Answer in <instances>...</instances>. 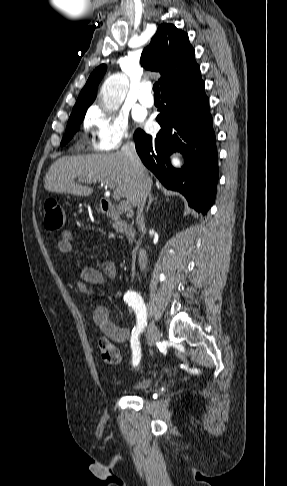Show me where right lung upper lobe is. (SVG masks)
I'll return each instance as SVG.
<instances>
[{"mask_svg": "<svg viewBox=\"0 0 287 486\" xmlns=\"http://www.w3.org/2000/svg\"><path fill=\"white\" fill-rule=\"evenodd\" d=\"M141 65L147 70L161 74V92L201 77L188 35L169 23H163L158 27L150 44L141 54ZM105 71L106 65L102 64L91 73L78 96L72 114L85 112L93 103Z\"/></svg>", "mask_w": 287, "mask_h": 486, "instance_id": "right-lung-upper-lobe-1", "label": "right lung upper lobe"}]
</instances>
